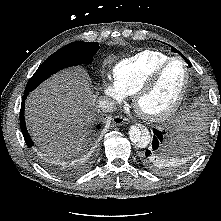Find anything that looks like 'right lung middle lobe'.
<instances>
[{"label":"right lung middle lobe","mask_w":221,"mask_h":221,"mask_svg":"<svg viewBox=\"0 0 221 221\" xmlns=\"http://www.w3.org/2000/svg\"><path fill=\"white\" fill-rule=\"evenodd\" d=\"M98 49V42H72L60 48L40 65L28 81L24 93L34 90L41 82L63 68L90 63Z\"/></svg>","instance_id":"right-lung-middle-lobe-1"}]
</instances>
